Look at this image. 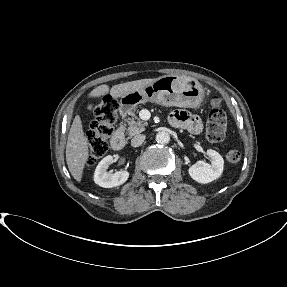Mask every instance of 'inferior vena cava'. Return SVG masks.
I'll return each instance as SVG.
<instances>
[{"label": "inferior vena cava", "instance_id": "1", "mask_svg": "<svg viewBox=\"0 0 287 287\" xmlns=\"http://www.w3.org/2000/svg\"><path fill=\"white\" fill-rule=\"evenodd\" d=\"M145 138H146V136L143 135V134H139V135L134 136V137L131 139V146H133V147H139L140 145L143 144Z\"/></svg>", "mask_w": 287, "mask_h": 287}]
</instances>
